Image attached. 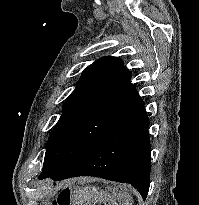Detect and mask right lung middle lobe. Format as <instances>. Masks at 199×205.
Returning <instances> with one entry per match:
<instances>
[{"label": "right lung middle lobe", "mask_w": 199, "mask_h": 205, "mask_svg": "<svg viewBox=\"0 0 199 205\" xmlns=\"http://www.w3.org/2000/svg\"><path fill=\"white\" fill-rule=\"evenodd\" d=\"M124 120L94 110L62 113L51 132L40 175H51L82 152L101 142Z\"/></svg>", "instance_id": "1"}]
</instances>
